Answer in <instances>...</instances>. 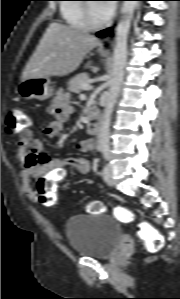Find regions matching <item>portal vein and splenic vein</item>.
<instances>
[{"label": "portal vein and splenic vein", "instance_id": "portal-vein-and-splenic-vein-1", "mask_svg": "<svg viewBox=\"0 0 180 299\" xmlns=\"http://www.w3.org/2000/svg\"><path fill=\"white\" fill-rule=\"evenodd\" d=\"M90 89H92V86H90L89 84H84L83 85V90L88 91Z\"/></svg>", "mask_w": 180, "mask_h": 299}]
</instances>
